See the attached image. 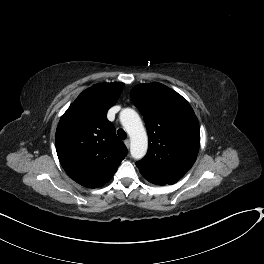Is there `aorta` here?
<instances>
[{"label": "aorta", "mask_w": 264, "mask_h": 264, "mask_svg": "<svg viewBox=\"0 0 264 264\" xmlns=\"http://www.w3.org/2000/svg\"><path fill=\"white\" fill-rule=\"evenodd\" d=\"M120 122L130 136V152L134 159H141L148 149V137L138 113L125 108L120 112Z\"/></svg>", "instance_id": "1"}]
</instances>
